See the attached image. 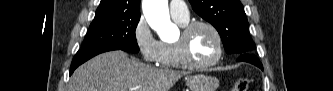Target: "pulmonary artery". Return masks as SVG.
Listing matches in <instances>:
<instances>
[{
    "instance_id": "1",
    "label": "pulmonary artery",
    "mask_w": 333,
    "mask_h": 91,
    "mask_svg": "<svg viewBox=\"0 0 333 91\" xmlns=\"http://www.w3.org/2000/svg\"><path fill=\"white\" fill-rule=\"evenodd\" d=\"M169 10L173 18L181 20L189 19V10L184 1H172Z\"/></svg>"
}]
</instances>
